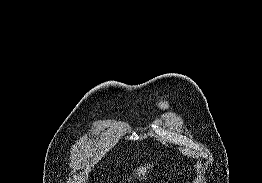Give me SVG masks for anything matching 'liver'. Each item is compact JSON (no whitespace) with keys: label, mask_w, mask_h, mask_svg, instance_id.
Instances as JSON below:
<instances>
[{"label":"liver","mask_w":262,"mask_h":183,"mask_svg":"<svg viewBox=\"0 0 262 183\" xmlns=\"http://www.w3.org/2000/svg\"><path fill=\"white\" fill-rule=\"evenodd\" d=\"M151 167H153V165ZM148 169H150V165H149V167L148 166L147 167L146 166L140 167L137 171L135 170L134 172L136 174H138L139 176L143 175V177H144L145 173L148 172Z\"/></svg>","instance_id":"liver-1"}]
</instances>
